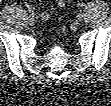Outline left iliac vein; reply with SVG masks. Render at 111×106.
I'll return each instance as SVG.
<instances>
[{"label":"left iliac vein","instance_id":"1","mask_svg":"<svg viewBox=\"0 0 111 106\" xmlns=\"http://www.w3.org/2000/svg\"><path fill=\"white\" fill-rule=\"evenodd\" d=\"M83 18H84V14H83V13H79V14L77 15V20H78V21H82Z\"/></svg>","mask_w":111,"mask_h":106}]
</instances>
